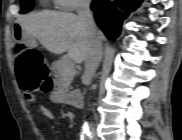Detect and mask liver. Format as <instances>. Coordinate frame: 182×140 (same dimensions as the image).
Wrapping results in <instances>:
<instances>
[{"label": "liver", "mask_w": 182, "mask_h": 140, "mask_svg": "<svg viewBox=\"0 0 182 140\" xmlns=\"http://www.w3.org/2000/svg\"><path fill=\"white\" fill-rule=\"evenodd\" d=\"M18 22L24 40L38 39L51 53L60 55L67 52V57L76 63L85 61L90 39L78 15L45 10L21 17ZM96 32L100 41H104L102 31Z\"/></svg>", "instance_id": "6515ba94"}]
</instances>
